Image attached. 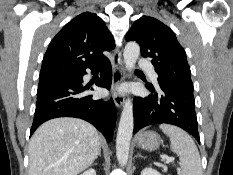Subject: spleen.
I'll return each instance as SVG.
<instances>
[{
	"label": "spleen",
	"mask_w": 233,
	"mask_h": 175,
	"mask_svg": "<svg viewBox=\"0 0 233 175\" xmlns=\"http://www.w3.org/2000/svg\"><path fill=\"white\" fill-rule=\"evenodd\" d=\"M159 128L170 138V148L179 156L178 175H202L200 155L190 135L170 124H161Z\"/></svg>",
	"instance_id": "obj_1"
}]
</instances>
